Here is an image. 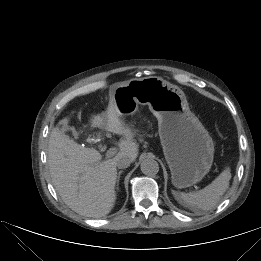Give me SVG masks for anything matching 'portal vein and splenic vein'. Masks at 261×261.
Returning <instances> with one entry per match:
<instances>
[{
  "label": "portal vein and splenic vein",
  "mask_w": 261,
  "mask_h": 261,
  "mask_svg": "<svg viewBox=\"0 0 261 261\" xmlns=\"http://www.w3.org/2000/svg\"><path fill=\"white\" fill-rule=\"evenodd\" d=\"M116 153H117V149H116V148H110V149L106 152V158L113 157Z\"/></svg>",
  "instance_id": "obj_1"
}]
</instances>
